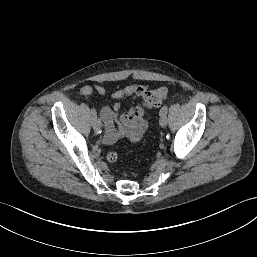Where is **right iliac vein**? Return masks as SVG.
<instances>
[{"label":"right iliac vein","instance_id":"right-iliac-vein-1","mask_svg":"<svg viewBox=\"0 0 257 257\" xmlns=\"http://www.w3.org/2000/svg\"><path fill=\"white\" fill-rule=\"evenodd\" d=\"M102 126V122L100 119H96L93 121V129L95 130V132H99Z\"/></svg>","mask_w":257,"mask_h":257}]
</instances>
